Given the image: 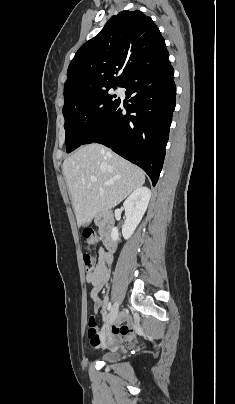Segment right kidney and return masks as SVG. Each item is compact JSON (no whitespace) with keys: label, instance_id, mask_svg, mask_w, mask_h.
I'll return each instance as SVG.
<instances>
[{"label":"right kidney","instance_id":"right-kidney-1","mask_svg":"<svg viewBox=\"0 0 235 404\" xmlns=\"http://www.w3.org/2000/svg\"><path fill=\"white\" fill-rule=\"evenodd\" d=\"M150 198V189L147 187H139L125 200L123 205L125 208L126 221L122 227L124 239H129L134 233L147 210ZM111 238L113 241L119 240L118 229L116 227L112 229Z\"/></svg>","mask_w":235,"mask_h":404}]
</instances>
